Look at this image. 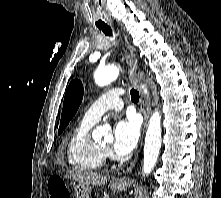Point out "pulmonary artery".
Wrapping results in <instances>:
<instances>
[{"instance_id":"1","label":"pulmonary artery","mask_w":221,"mask_h":198,"mask_svg":"<svg viewBox=\"0 0 221 198\" xmlns=\"http://www.w3.org/2000/svg\"><path fill=\"white\" fill-rule=\"evenodd\" d=\"M123 93L120 88L111 89L104 93L85 112L83 120L96 123L106 111L120 110L123 106L121 99Z\"/></svg>"}]
</instances>
